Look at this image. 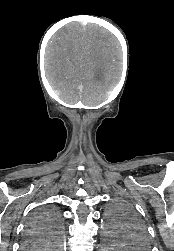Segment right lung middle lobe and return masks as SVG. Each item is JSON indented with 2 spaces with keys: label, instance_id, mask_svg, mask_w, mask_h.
<instances>
[{
  "label": "right lung middle lobe",
  "instance_id": "right-lung-middle-lobe-1",
  "mask_svg": "<svg viewBox=\"0 0 174 251\" xmlns=\"http://www.w3.org/2000/svg\"><path fill=\"white\" fill-rule=\"evenodd\" d=\"M61 232L60 214L51 207H39L29 221L27 235L30 234L46 241L33 245L30 250H42V248L60 249Z\"/></svg>",
  "mask_w": 174,
  "mask_h": 251
}]
</instances>
